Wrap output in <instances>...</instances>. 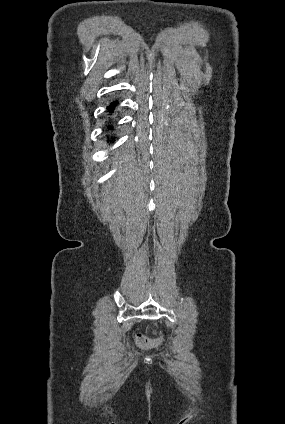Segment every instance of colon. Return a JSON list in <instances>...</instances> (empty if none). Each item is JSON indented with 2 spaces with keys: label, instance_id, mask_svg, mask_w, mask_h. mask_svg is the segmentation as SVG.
Wrapping results in <instances>:
<instances>
[{
  "label": "colon",
  "instance_id": "1",
  "mask_svg": "<svg viewBox=\"0 0 285 424\" xmlns=\"http://www.w3.org/2000/svg\"><path fill=\"white\" fill-rule=\"evenodd\" d=\"M164 334L162 331L156 332V339L151 340L142 334L136 336V343L140 348H150L160 344L164 340Z\"/></svg>",
  "mask_w": 285,
  "mask_h": 424
}]
</instances>
